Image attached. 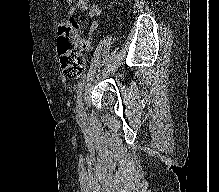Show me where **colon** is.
I'll list each match as a JSON object with an SVG mask.
<instances>
[{
  "mask_svg": "<svg viewBox=\"0 0 219 192\" xmlns=\"http://www.w3.org/2000/svg\"><path fill=\"white\" fill-rule=\"evenodd\" d=\"M79 29V22L75 18L65 19L58 28L57 51L63 74L69 79L78 78L84 70Z\"/></svg>",
  "mask_w": 219,
  "mask_h": 192,
  "instance_id": "colon-1",
  "label": "colon"
}]
</instances>
